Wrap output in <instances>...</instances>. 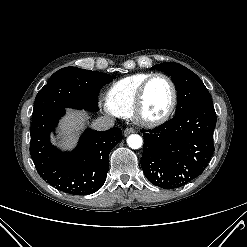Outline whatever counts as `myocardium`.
Here are the masks:
<instances>
[{
  "label": "myocardium",
  "instance_id": "1",
  "mask_svg": "<svg viewBox=\"0 0 247 247\" xmlns=\"http://www.w3.org/2000/svg\"><path fill=\"white\" fill-rule=\"evenodd\" d=\"M158 77L164 78L169 82L171 86V90H172V101H171L170 107L162 116L155 118V119H150V118L144 117L142 113L144 100H145V94H146V89L149 83L153 79L158 78ZM177 100H178V91H177V87L173 79L165 73H153L142 82V84L140 85L138 89L135 102H134V106H133V110H132V117L135 122H137L138 124L144 127H149V128L157 127L165 123L172 116L176 108V105H177Z\"/></svg>",
  "mask_w": 247,
  "mask_h": 247
}]
</instances>
